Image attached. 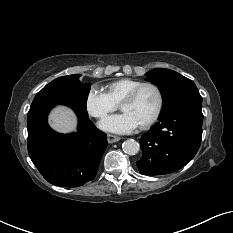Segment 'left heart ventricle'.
Masks as SVG:
<instances>
[{
    "instance_id": "left-heart-ventricle-1",
    "label": "left heart ventricle",
    "mask_w": 233,
    "mask_h": 233,
    "mask_svg": "<svg viewBox=\"0 0 233 233\" xmlns=\"http://www.w3.org/2000/svg\"><path fill=\"white\" fill-rule=\"evenodd\" d=\"M158 105V95L154 88L144 87L136 98L122 106L124 112L130 113L140 125L146 122L155 112Z\"/></svg>"
}]
</instances>
